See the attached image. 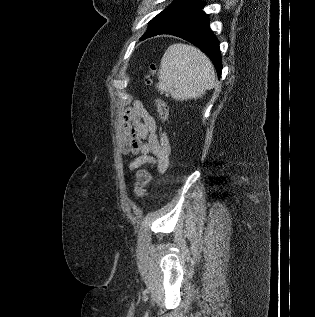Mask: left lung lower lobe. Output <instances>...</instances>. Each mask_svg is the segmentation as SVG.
<instances>
[{
	"instance_id": "0a47b994",
	"label": "left lung lower lobe",
	"mask_w": 315,
	"mask_h": 317,
	"mask_svg": "<svg viewBox=\"0 0 315 317\" xmlns=\"http://www.w3.org/2000/svg\"><path fill=\"white\" fill-rule=\"evenodd\" d=\"M205 4L204 1H199L164 33L180 37L197 46L212 60L220 78L222 60L219 41L210 29L208 15L202 10Z\"/></svg>"
}]
</instances>
